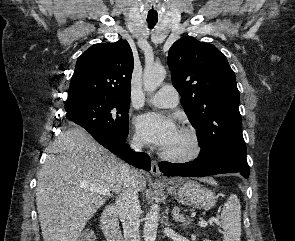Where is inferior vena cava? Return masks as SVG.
<instances>
[{"instance_id": "inferior-vena-cava-1", "label": "inferior vena cava", "mask_w": 295, "mask_h": 241, "mask_svg": "<svg viewBox=\"0 0 295 241\" xmlns=\"http://www.w3.org/2000/svg\"><path fill=\"white\" fill-rule=\"evenodd\" d=\"M131 147L135 151H141L143 143L138 138H133ZM121 192L116 200V209L122 222L125 241H140L139 235V213L138 190L135 177L137 172L129 165L123 164L119 167Z\"/></svg>"}]
</instances>
